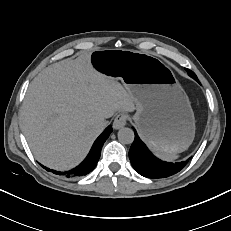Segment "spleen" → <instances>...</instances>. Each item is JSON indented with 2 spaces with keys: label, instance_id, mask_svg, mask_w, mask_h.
<instances>
[{
  "label": "spleen",
  "instance_id": "3e777b00",
  "mask_svg": "<svg viewBox=\"0 0 231 231\" xmlns=\"http://www.w3.org/2000/svg\"><path fill=\"white\" fill-rule=\"evenodd\" d=\"M159 157L166 161H174L178 158L175 154L159 153Z\"/></svg>",
  "mask_w": 231,
  "mask_h": 231
}]
</instances>
